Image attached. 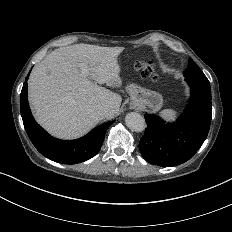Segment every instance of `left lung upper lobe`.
I'll return each instance as SVG.
<instances>
[{
    "label": "left lung upper lobe",
    "mask_w": 232,
    "mask_h": 232,
    "mask_svg": "<svg viewBox=\"0 0 232 232\" xmlns=\"http://www.w3.org/2000/svg\"><path fill=\"white\" fill-rule=\"evenodd\" d=\"M188 62V67L183 72V75L190 88L193 90H197L201 93L207 94L210 97L211 89L209 80L191 58H189Z\"/></svg>",
    "instance_id": "left-lung-upper-lobe-1"
}]
</instances>
